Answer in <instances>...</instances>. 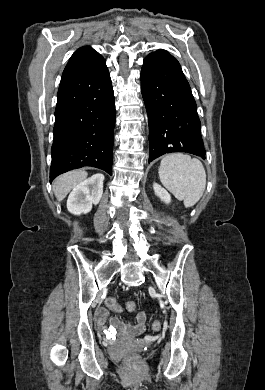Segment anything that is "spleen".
I'll use <instances>...</instances> for the list:
<instances>
[{
    "mask_svg": "<svg viewBox=\"0 0 265 390\" xmlns=\"http://www.w3.org/2000/svg\"><path fill=\"white\" fill-rule=\"evenodd\" d=\"M158 173L162 184L178 200H183L186 208L194 206L202 197L206 172L198 159L179 153L167 155L162 159Z\"/></svg>",
    "mask_w": 265,
    "mask_h": 390,
    "instance_id": "1",
    "label": "spleen"
}]
</instances>
